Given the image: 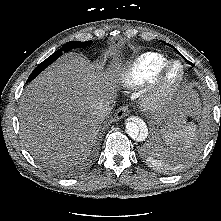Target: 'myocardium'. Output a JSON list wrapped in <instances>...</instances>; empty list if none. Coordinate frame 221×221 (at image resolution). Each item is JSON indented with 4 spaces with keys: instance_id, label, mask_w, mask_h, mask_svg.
Instances as JSON below:
<instances>
[{
    "instance_id": "myocardium-1",
    "label": "myocardium",
    "mask_w": 221,
    "mask_h": 221,
    "mask_svg": "<svg viewBox=\"0 0 221 221\" xmlns=\"http://www.w3.org/2000/svg\"><path fill=\"white\" fill-rule=\"evenodd\" d=\"M179 75L173 85H169V75L176 67ZM186 79L185 65L179 60L170 61L151 82L149 89L143 97V107L149 111H156L170 104L182 89Z\"/></svg>"
}]
</instances>
